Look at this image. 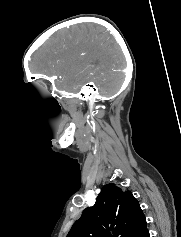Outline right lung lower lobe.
Here are the masks:
<instances>
[{
    "label": "right lung lower lobe",
    "mask_w": 181,
    "mask_h": 237,
    "mask_svg": "<svg viewBox=\"0 0 181 237\" xmlns=\"http://www.w3.org/2000/svg\"><path fill=\"white\" fill-rule=\"evenodd\" d=\"M144 237H150L149 233L147 232Z\"/></svg>",
    "instance_id": "1"
}]
</instances>
